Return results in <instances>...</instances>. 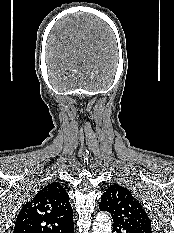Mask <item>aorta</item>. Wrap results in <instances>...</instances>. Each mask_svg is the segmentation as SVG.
<instances>
[{
  "mask_svg": "<svg viewBox=\"0 0 174 233\" xmlns=\"http://www.w3.org/2000/svg\"><path fill=\"white\" fill-rule=\"evenodd\" d=\"M112 223L110 217L104 213H98L93 223V233H111Z\"/></svg>",
  "mask_w": 174,
  "mask_h": 233,
  "instance_id": "obj_1",
  "label": "aorta"
}]
</instances>
